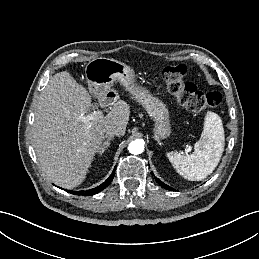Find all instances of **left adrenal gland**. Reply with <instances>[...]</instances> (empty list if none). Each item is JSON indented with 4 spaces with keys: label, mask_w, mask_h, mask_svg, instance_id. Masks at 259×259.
I'll list each match as a JSON object with an SVG mask.
<instances>
[{
    "label": "left adrenal gland",
    "mask_w": 259,
    "mask_h": 259,
    "mask_svg": "<svg viewBox=\"0 0 259 259\" xmlns=\"http://www.w3.org/2000/svg\"><path fill=\"white\" fill-rule=\"evenodd\" d=\"M158 144L161 146L162 145V143L160 142V141H158Z\"/></svg>",
    "instance_id": "1"
}]
</instances>
